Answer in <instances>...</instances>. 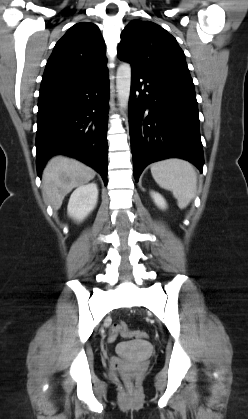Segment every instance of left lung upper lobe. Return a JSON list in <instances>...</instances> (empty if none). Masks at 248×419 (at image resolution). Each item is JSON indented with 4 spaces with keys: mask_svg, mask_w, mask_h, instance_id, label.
I'll return each mask as SVG.
<instances>
[{
    "mask_svg": "<svg viewBox=\"0 0 248 419\" xmlns=\"http://www.w3.org/2000/svg\"><path fill=\"white\" fill-rule=\"evenodd\" d=\"M118 58L132 69L194 88L185 55L176 39L150 21H131L121 33Z\"/></svg>",
    "mask_w": 248,
    "mask_h": 419,
    "instance_id": "1",
    "label": "left lung upper lobe"
}]
</instances>
